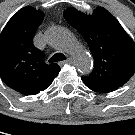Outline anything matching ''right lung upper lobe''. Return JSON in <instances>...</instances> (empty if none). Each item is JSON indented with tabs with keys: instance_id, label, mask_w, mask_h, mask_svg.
I'll use <instances>...</instances> for the list:
<instances>
[{
	"instance_id": "right-lung-upper-lobe-1",
	"label": "right lung upper lobe",
	"mask_w": 135,
	"mask_h": 135,
	"mask_svg": "<svg viewBox=\"0 0 135 135\" xmlns=\"http://www.w3.org/2000/svg\"><path fill=\"white\" fill-rule=\"evenodd\" d=\"M43 18L41 10L23 7L0 34V77L8 87L23 95L45 90L60 71L57 64H46L42 51L33 45Z\"/></svg>"
}]
</instances>
